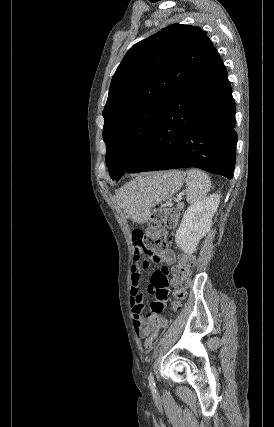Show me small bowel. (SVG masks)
Masks as SVG:
<instances>
[{"mask_svg": "<svg viewBox=\"0 0 274 427\" xmlns=\"http://www.w3.org/2000/svg\"><path fill=\"white\" fill-rule=\"evenodd\" d=\"M134 258H133V267H132V276H131V309L133 314V324L137 333L141 337H147L149 331H154L153 323L144 324L143 313L145 310L144 306V296L140 290V285L142 282V275L146 270V267L149 264L147 258L142 254L143 246H133ZM154 257L152 258V263L154 265H159L161 261L165 265H171L176 261V254L172 250L166 248L165 251H158L157 248L153 251ZM146 256L152 255L151 249L145 250ZM148 282V292L150 294H157L159 301H148L147 307L148 310H165L166 304L169 300V292L167 289H170L171 282L170 277L168 276V270L166 267L162 269H157L155 275H149L147 277ZM153 314H158L157 312H151L150 318ZM148 338V337H147Z\"/></svg>", "mask_w": 274, "mask_h": 427, "instance_id": "c3829d8e", "label": "small bowel"}]
</instances>
